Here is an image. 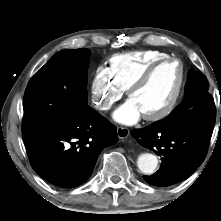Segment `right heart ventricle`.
I'll return each instance as SVG.
<instances>
[{"instance_id": "e07e8e85", "label": "right heart ventricle", "mask_w": 221, "mask_h": 221, "mask_svg": "<svg viewBox=\"0 0 221 221\" xmlns=\"http://www.w3.org/2000/svg\"><path fill=\"white\" fill-rule=\"evenodd\" d=\"M167 57H170L168 53L151 49L119 53L109 59L108 70L113 79L127 90L149 65Z\"/></svg>"}]
</instances>
